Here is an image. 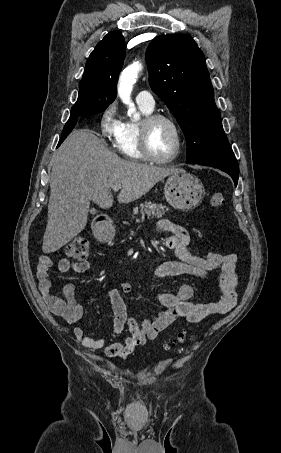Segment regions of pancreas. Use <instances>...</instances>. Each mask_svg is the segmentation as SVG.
I'll list each match as a JSON object with an SVG mask.
<instances>
[{
    "label": "pancreas",
    "mask_w": 281,
    "mask_h": 453,
    "mask_svg": "<svg viewBox=\"0 0 281 453\" xmlns=\"http://www.w3.org/2000/svg\"><path fill=\"white\" fill-rule=\"evenodd\" d=\"M139 208L138 206L133 208L134 214H139V212H141L142 216H147V218H154V216H156V218H161L164 212L169 210V208H166L163 204H155V202H144V204H140Z\"/></svg>",
    "instance_id": "pancreas-1"
}]
</instances>
